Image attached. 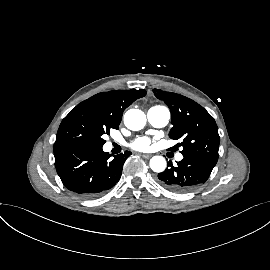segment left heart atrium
Segmentation results:
<instances>
[{"label": "left heart atrium", "instance_id": "left-heart-atrium-1", "mask_svg": "<svg viewBox=\"0 0 270 270\" xmlns=\"http://www.w3.org/2000/svg\"><path fill=\"white\" fill-rule=\"evenodd\" d=\"M150 145L151 140L147 137H139L131 143V147L137 151H148Z\"/></svg>", "mask_w": 270, "mask_h": 270}]
</instances>
